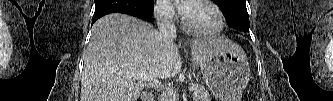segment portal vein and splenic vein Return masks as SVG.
Returning <instances> with one entry per match:
<instances>
[{"mask_svg":"<svg viewBox=\"0 0 333 101\" xmlns=\"http://www.w3.org/2000/svg\"><path fill=\"white\" fill-rule=\"evenodd\" d=\"M132 76L135 78V79H137V80H144V81H147V82H149V83H153V84H156V85H158L159 84V82H158V80H156V79H153V78H151V77H148V76H146V75H136V74H132ZM194 89H195V86H191L190 88H189V91H194ZM169 91H170V93H172V94H176V92L173 90V89H169Z\"/></svg>","mask_w":333,"mask_h":101,"instance_id":"1","label":"portal vein and splenic vein"}]
</instances>
